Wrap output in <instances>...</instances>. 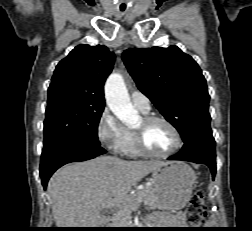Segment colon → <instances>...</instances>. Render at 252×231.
Returning <instances> with one entry per match:
<instances>
[{
  "instance_id": "5ec220e1",
  "label": "colon",
  "mask_w": 252,
  "mask_h": 231,
  "mask_svg": "<svg viewBox=\"0 0 252 231\" xmlns=\"http://www.w3.org/2000/svg\"><path fill=\"white\" fill-rule=\"evenodd\" d=\"M188 222L191 225L201 224L206 216L205 193L203 190L196 191L190 198L186 208Z\"/></svg>"
}]
</instances>
